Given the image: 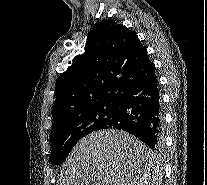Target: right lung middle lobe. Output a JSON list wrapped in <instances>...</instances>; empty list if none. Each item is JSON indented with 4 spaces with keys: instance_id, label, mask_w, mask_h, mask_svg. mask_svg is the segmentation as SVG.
Instances as JSON below:
<instances>
[{
    "instance_id": "1",
    "label": "right lung middle lobe",
    "mask_w": 207,
    "mask_h": 185,
    "mask_svg": "<svg viewBox=\"0 0 207 185\" xmlns=\"http://www.w3.org/2000/svg\"><path fill=\"white\" fill-rule=\"evenodd\" d=\"M118 109L117 103H109L71 116L52 126L50 135L52 165L65 162L74 145L85 135L115 122Z\"/></svg>"
}]
</instances>
